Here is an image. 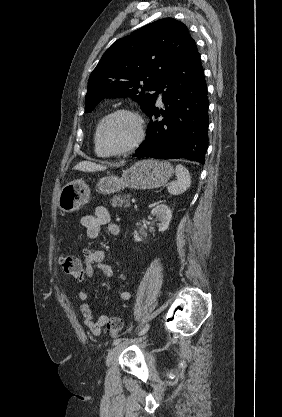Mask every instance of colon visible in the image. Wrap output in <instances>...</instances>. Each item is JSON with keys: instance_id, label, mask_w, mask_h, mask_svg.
<instances>
[{"instance_id": "1", "label": "colon", "mask_w": 282, "mask_h": 417, "mask_svg": "<svg viewBox=\"0 0 282 417\" xmlns=\"http://www.w3.org/2000/svg\"><path fill=\"white\" fill-rule=\"evenodd\" d=\"M78 256L67 255L62 258L61 267L63 272L70 277H78L82 275L84 266L77 265ZM121 320L118 317H112L107 323V331L111 338L120 336Z\"/></svg>"}]
</instances>
